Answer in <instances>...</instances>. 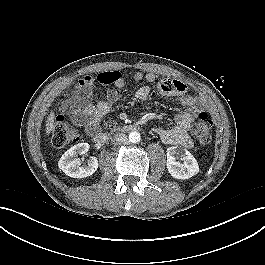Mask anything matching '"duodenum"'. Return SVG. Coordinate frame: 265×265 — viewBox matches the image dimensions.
<instances>
[{
  "label": "duodenum",
  "mask_w": 265,
  "mask_h": 265,
  "mask_svg": "<svg viewBox=\"0 0 265 265\" xmlns=\"http://www.w3.org/2000/svg\"><path fill=\"white\" fill-rule=\"evenodd\" d=\"M140 129L137 124H124L120 127V132H133ZM94 141L99 145H104L108 142L109 136L103 132H97L93 135Z\"/></svg>",
  "instance_id": "obj_1"
}]
</instances>
